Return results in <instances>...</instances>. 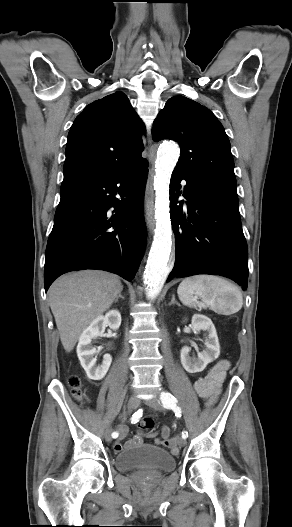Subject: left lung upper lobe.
<instances>
[{
  "label": "left lung upper lobe",
  "instance_id": "left-lung-upper-lobe-1",
  "mask_svg": "<svg viewBox=\"0 0 292 527\" xmlns=\"http://www.w3.org/2000/svg\"><path fill=\"white\" fill-rule=\"evenodd\" d=\"M154 141L171 139L181 148L174 172L185 180L236 191L230 142L205 106L178 95L170 98L153 123Z\"/></svg>",
  "mask_w": 292,
  "mask_h": 527
}]
</instances>
